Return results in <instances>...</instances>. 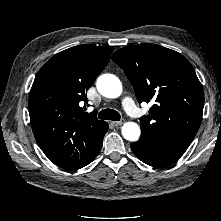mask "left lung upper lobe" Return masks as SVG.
Masks as SVG:
<instances>
[{"instance_id": "left-lung-upper-lobe-1", "label": "left lung upper lobe", "mask_w": 221, "mask_h": 221, "mask_svg": "<svg viewBox=\"0 0 221 221\" xmlns=\"http://www.w3.org/2000/svg\"><path fill=\"white\" fill-rule=\"evenodd\" d=\"M112 60L125 71L138 102L154 103L140 118L141 134L189 146L201 124L204 92L188 60L155 44L127 46Z\"/></svg>"}]
</instances>
